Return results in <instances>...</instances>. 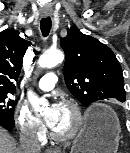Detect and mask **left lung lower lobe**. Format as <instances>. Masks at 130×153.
Here are the masks:
<instances>
[{"label":"left lung lower lobe","instance_id":"left-lung-lower-lobe-1","mask_svg":"<svg viewBox=\"0 0 130 153\" xmlns=\"http://www.w3.org/2000/svg\"><path fill=\"white\" fill-rule=\"evenodd\" d=\"M118 101H120V102H124L125 100H118Z\"/></svg>","mask_w":130,"mask_h":153}]
</instances>
